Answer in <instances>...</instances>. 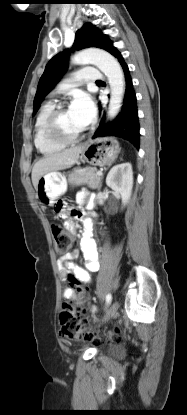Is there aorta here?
Wrapping results in <instances>:
<instances>
[{"instance_id":"obj_1","label":"aorta","mask_w":187,"mask_h":415,"mask_svg":"<svg viewBox=\"0 0 187 415\" xmlns=\"http://www.w3.org/2000/svg\"><path fill=\"white\" fill-rule=\"evenodd\" d=\"M72 62L76 65H95L107 76L111 89L108 117L110 119L116 117L125 92V78L119 62L110 53L95 48L77 53L72 58Z\"/></svg>"}]
</instances>
